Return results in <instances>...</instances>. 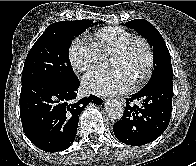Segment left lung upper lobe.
Returning a JSON list of instances; mask_svg holds the SVG:
<instances>
[{"label": "left lung upper lobe", "instance_id": "left-lung-upper-lobe-1", "mask_svg": "<svg viewBox=\"0 0 196 166\" xmlns=\"http://www.w3.org/2000/svg\"><path fill=\"white\" fill-rule=\"evenodd\" d=\"M125 25L147 38L151 47H153L154 71L147 85L156 81L173 80L170 53L159 31L144 19L131 20L126 22Z\"/></svg>", "mask_w": 196, "mask_h": 166}]
</instances>
